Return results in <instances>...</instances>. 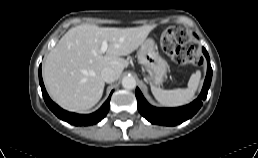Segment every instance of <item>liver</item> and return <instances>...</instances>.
Wrapping results in <instances>:
<instances>
[{
	"label": "liver",
	"mask_w": 258,
	"mask_h": 158,
	"mask_svg": "<svg viewBox=\"0 0 258 158\" xmlns=\"http://www.w3.org/2000/svg\"><path fill=\"white\" fill-rule=\"evenodd\" d=\"M154 26L109 28L84 24L69 29L49 52L43 79L50 97L62 108L85 112L101 99L104 68L113 69L117 78L128 62L120 56L135 51ZM108 43L106 55L102 42Z\"/></svg>",
	"instance_id": "1"
}]
</instances>
